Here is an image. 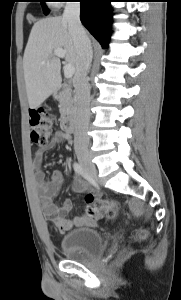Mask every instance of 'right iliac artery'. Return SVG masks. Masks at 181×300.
<instances>
[{
	"instance_id": "obj_1",
	"label": "right iliac artery",
	"mask_w": 181,
	"mask_h": 300,
	"mask_svg": "<svg viewBox=\"0 0 181 300\" xmlns=\"http://www.w3.org/2000/svg\"><path fill=\"white\" fill-rule=\"evenodd\" d=\"M73 168H74V171L78 174V175H84V169L82 167V165L78 162H75L73 164Z\"/></svg>"
}]
</instances>
